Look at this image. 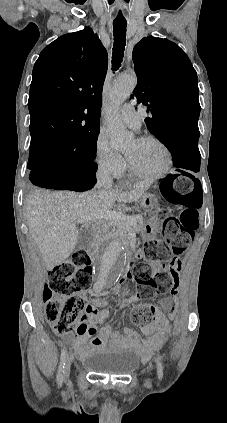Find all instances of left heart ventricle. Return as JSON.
I'll list each match as a JSON object with an SVG mask.
<instances>
[{"mask_svg": "<svg viewBox=\"0 0 227 423\" xmlns=\"http://www.w3.org/2000/svg\"><path fill=\"white\" fill-rule=\"evenodd\" d=\"M126 155L132 160L136 169L143 173L157 172L165 163V152L154 142L131 143Z\"/></svg>", "mask_w": 227, "mask_h": 423, "instance_id": "obj_1", "label": "left heart ventricle"}]
</instances>
